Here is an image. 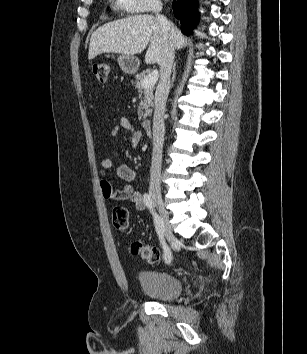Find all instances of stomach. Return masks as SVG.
<instances>
[{
    "mask_svg": "<svg viewBox=\"0 0 307 354\" xmlns=\"http://www.w3.org/2000/svg\"><path fill=\"white\" fill-rule=\"evenodd\" d=\"M121 70L126 74H134L137 72L140 62L134 55H120L117 59Z\"/></svg>",
    "mask_w": 307,
    "mask_h": 354,
    "instance_id": "obj_1",
    "label": "stomach"
}]
</instances>
